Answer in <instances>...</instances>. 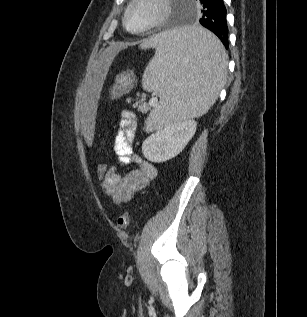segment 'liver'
Returning a JSON list of instances; mask_svg holds the SVG:
<instances>
[{"instance_id": "1", "label": "liver", "mask_w": 307, "mask_h": 317, "mask_svg": "<svg viewBox=\"0 0 307 317\" xmlns=\"http://www.w3.org/2000/svg\"><path fill=\"white\" fill-rule=\"evenodd\" d=\"M124 44H112L101 55H97L93 64V71L87 75L86 85H84V93L81 94V99L77 106L82 112H78V119L81 120V142H98V135H95L94 115L97 111V106L102 99L105 78L110 73V67L115 59L118 58V52L122 51Z\"/></svg>"}]
</instances>
